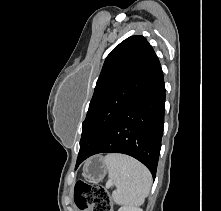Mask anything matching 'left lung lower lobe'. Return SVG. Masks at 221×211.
Returning a JSON list of instances; mask_svg holds the SVG:
<instances>
[{
    "mask_svg": "<svg viewBox=\"0 0 221 211\" xmlns=\"http://www.w3.org/2000/svg\"><path fill=\"white\" fill-rule=\"evenodd\" d=\"M165 84L159 60L141 89L126 105L105 135L80 160L103 153H123L142 162L156 175L164 125Z\"/></svg>",
    "mask_w": 221,
    "mask_h": 211,
    "instance_id": "1",
    "label": "left lung lower lobe"
}]
</instances>
